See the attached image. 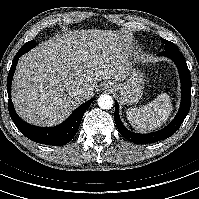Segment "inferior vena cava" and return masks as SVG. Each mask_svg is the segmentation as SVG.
Returning <instances> with one entry per match:
<instances>
[{"mask_svg":"<svg viewBox=\"0 0 199 199\" xmlns=\"http://www.w3.org/2000/svg\"><path fill=\"white\" fill-rule=\"evenodd\" d=\"M84 93H85V89L83 87H77L75 92H74V95L76 97L80 98V97H82L84 95Z\"/></svg>","mask_w":199,"mask_h":199,"instance_id":"inferior-vena-cava-1","label":"inferior vena cava"}]
</instances>
